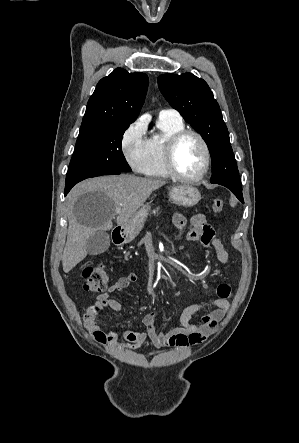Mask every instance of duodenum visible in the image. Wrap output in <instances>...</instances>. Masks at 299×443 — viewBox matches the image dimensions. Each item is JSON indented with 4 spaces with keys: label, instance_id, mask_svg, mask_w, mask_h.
I'll list each match as a JSON object with an SVG mask.
<instances>
[{
    "label": "duodenum",
    "instance_id": "obj_1",
    "mask_svg": "<svg viewBox=\"0 0 299 443\" xmlns=\"http://www.w3.org/2000/svg\"><path fill=\"white\" fill-rule=\"evenodd\" d=\"M112 239L113 242L116 245H120L122 243L125 242L126 237L124 235V229L121 226H117L113 231H112Z\"/></svg>",
    "mask_w": 299,
    "mask_h": 443
}]
</instances>
